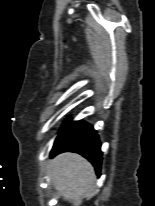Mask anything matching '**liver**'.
<instances>
[{
    "mask_svg": "<svg viewBox=\"0 0 155 206\" xmlns=\"http://www.w3.org/2000/svg\"><path fill=\"white\" fill-rule=\"evenodd\" d=\"M49 173L55 189L73 206H80L83 196L94 188V168L78 154L58 155L51 161Z\"/></svg>",
    "mask_w": 155,
    "mask_h": 206,
    "instance_id": "liver-1",
    "label": "liver"
}]
</instances>
